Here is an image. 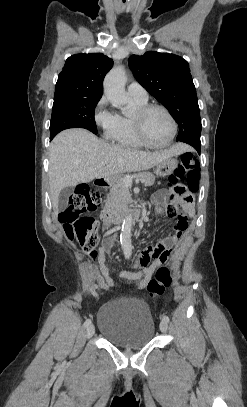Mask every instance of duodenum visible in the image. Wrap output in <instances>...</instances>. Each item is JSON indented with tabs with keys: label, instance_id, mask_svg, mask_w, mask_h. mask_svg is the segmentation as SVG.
Instances as JSON below:
<instances>
[{
	"label": "duodenum",
	"instance_id": "obj_1",
	"mask_svg": "<svg viewBox=\"0 0 247 407\" xmlns=\"http://www.w3.org/2000/svg\"><path fill=\"white\" fill-rule=\"evenodd\" d=\"M106 181L104 178H96L94 180V185L99 188L106 186ZM142 217L141 211L136 206H131L128 208H123L119 206H106L101 210V218L106 223H112L113 225L121 222L123 219H139ZM113 239V236L111 237Z\"/></svg>",
	"mask_w": 247,
	"mask_h": 407
}]
</instances>
